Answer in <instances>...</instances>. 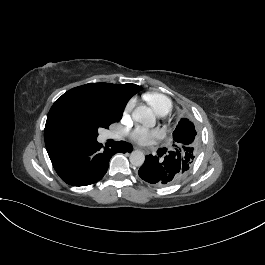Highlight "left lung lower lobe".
I'll return each instance as SVG.
<instances>
[{
    "mask_svg": "<svg viewBox=\"0 0 265 265\" xmlns=\"http://www.w3.org/2000/svg\"><path fill=\"white\" fill-rule=\"evenodd\" d=\"M163 154H165L164 157ZM162 157V158H161ZM184 168L179 153L166 148L159 150L158 156L147 155L138 174L144 181L156 186H168L184 177Z\"/></svg>",
    "mask_w": 265,
    "mask_h": 265,
    "instance_id": "obj_1",
    "label": "left lung lower lobe"
}]
</instances>
